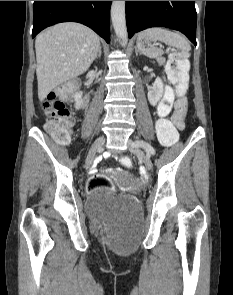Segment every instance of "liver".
Wrapping results in <instances>:
<instances>
[{
  "mask_svg": "<svg viewBox=\"0 0 233 295\" xmlns=\"http://www.w3.org/2000/svg\"><path fill=\"white\" fill-rule=\"evenodd\" d=\"M99 49V36L79 23H60L41 32L35 40L39 100L86 72Z\"/></svg>",
  "mask_w": 233,
  "mask_h": 295,
  "instance_id": "obj_1",
  "label": "liver"
}]
</instances>
